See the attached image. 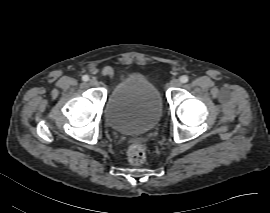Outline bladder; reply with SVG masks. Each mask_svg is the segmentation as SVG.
<instances>
[{"label":"bladder","instance_id":"1","mask_svg":"<svg viewBox=\"0 0 270 213\" xmlns=\"http://www.w3.org/2000/svg\"><path fill=\"white\" fill-rule=\"evenodd\" d=\"M163 112L161 95L143 74L128 75L107 96L109 126L127 135L145 134L156 127Z\"/></svg>","mask_w":270,"mask_h":213}]
</instances>
